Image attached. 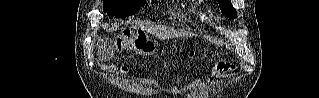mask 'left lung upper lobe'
Wrapping results in <instances>:
<instances>
[{
  "instance_id": "obj_1",
  "label": "left lung upper lobe",
  "mask_w": 319,
  "mask_h": 98,
  "mask_svg": "<svg viewBox=\"0 0 319 98\" xmlns=\"http://www.w3.org/2000/svg\"><path fill=\"white\" fill-rule=\"evenodd\" d=\"M221 11L229 16L230 18L234 19L237 18L236 10L233 8L230 0H218Z\"/></svg>"
}]
</instances>
